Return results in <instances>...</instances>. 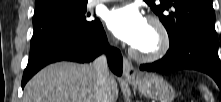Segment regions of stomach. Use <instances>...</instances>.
Listing matches in <instances>:
<instances>
[{
    "mask_svg": "<svg viewBox=\"0 0 221 102\" xmlns=\"http://www.w3.org/2000/svg\"><path fill=\"white\" fill-rule=\"evenodd\" d=\"M142 95L159 102H172L175 90L157 74H145L136 80L128 81Z\"/></svg>",
    "mask_w": 221,
    "mask_h": 102,
    "instance_id": "0dacf381",
    "label": "stomach"
}]
</instances>
